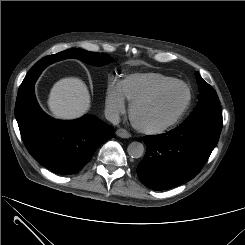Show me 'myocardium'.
I'll use <instances>...</instances> for the list:
<instances>
[{
	"label": "myocardium",
	"mask_w": 245,
	"mask_h": 245,
	"mask_svg": "<svg viewBox=\"0 0 245 245\" xmlns=\"http://www.w3.org/2000/svg\"><path fill=\"white\" fill-rule=\"evenodd\" d=\"M175 85H182L187 90V99L184 104V106L181 108V110L178 112V114L169 122L156 127H150L145 126L141 124L137 119V110L144 104L151 102L158 98L160 95H162L165 91H167L169 88L175 86ZM192 103V91L190 87L183 81L180 80H173L165 85H162L155 90L137 98L135 101L131 103L130 106V119L133 124V126L139 130L142 133L149 134V135H159L163 134L172 128H174L185 116V114L188 112L190 106Z\"/></svg>",
	"instance_id": "obj_1"
}]
</instances>
